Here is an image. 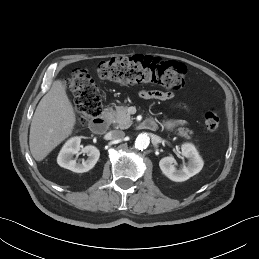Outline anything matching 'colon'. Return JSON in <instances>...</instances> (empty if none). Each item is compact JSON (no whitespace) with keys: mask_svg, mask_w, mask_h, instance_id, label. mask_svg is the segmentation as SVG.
<instances>
[{"mask_svg":"<svg viewBox=\"0 0 259 259\" xmlns=\"http://www.w3.org/2000/svg\"><path fill=\"white\" fill-rule=\"evenodd\" d=\"M95 73L101 79L119 84L151 83L177 90L185 85L186 68L176 61L137 55L103 61L95 67ZM67 87L75 97V109L81 124H87L100 114L101 91L87 70L74 69L67 79ZM219 125V113L213 108L208 109L204 114L205 128L213 132Z\"/></svg>","mask_w":259,"mask_h":259,"instance_id":"5ec220e1","label":"colon"}]
</instances>
